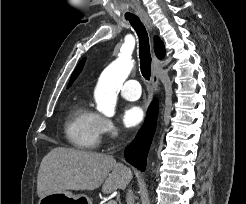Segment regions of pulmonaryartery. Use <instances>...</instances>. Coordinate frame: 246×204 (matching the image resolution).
<instances>
[{"label": "pulmonary artery", "instance_id": "1", "mask_svg": "<svg viewBox=\"0 0 246 204\" xmlns=\"http://www.w3.org/2000/svg\"><path fill=\"white\" fill-rule=\"evenodd\" d=\"M121 95L127 100L134 101L141 96V86L137 80H127L122 89Z\"/></svg>", "mask_w": 246, "mask_h": 204}]
</instances>
